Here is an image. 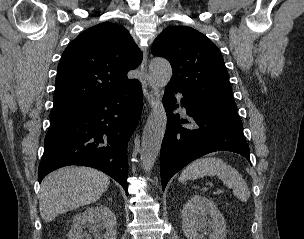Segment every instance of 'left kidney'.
Returning <instances> with one entry per match:
<instances>
[{"label":"left kidney","mask_w":304,"mask_h":239,"mask_svg":"<svg viewBox=\"0 0 304 239\" xmlns=\"http://www.w3.org/2000/svg\"><path fill=\"white\" fill-rule=\"evenodd\" d=\"M182 228L188 239H225L227 233L224 217L217 205L199 195L191 197L184 205Z\"/></svg>","instance_id":"1"}]
</instances>
